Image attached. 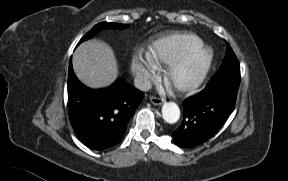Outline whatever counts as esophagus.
I'll use <instances>...</instances> for the list:
<instances>
[{
    "instance_id": "esophagus-1",
    "label": "esophagus",
    "mask_w": 288,
    "mask_h": 181,
    "mask_svg": "<svg viewBox=\"0 0 288 181\" xmlns=\"http://www.w3.org/2000/svg\"><path fill=\"white\" fill-rule=\"evenodd\" d=\"M150 101L154 104V105H161L164 102V99L156 97V96H151L150 97Z\"/></svg>"
}]
</instances>
